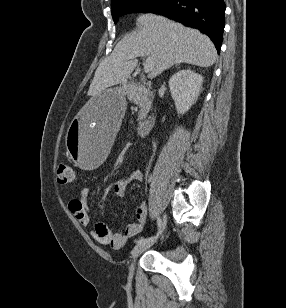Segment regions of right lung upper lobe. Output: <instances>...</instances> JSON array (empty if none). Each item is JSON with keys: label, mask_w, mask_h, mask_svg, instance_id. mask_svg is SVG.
Segmentation results:
<instances>
[{"label": "right lung upper lobe", "mask_w": 286, "mask_h": 308, "mask_svg": "<svg viewBox=\"0 0 286 308\" xmlns=\"http://www.w3.org/2000/svg\"><path fill=\"white\" fill-rule=\"evenodd\" d=\"M117 0H111V4H114Z\"/></svg>", "instance_id": "obj_1"}]
</instances>
